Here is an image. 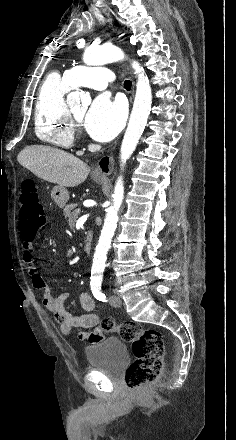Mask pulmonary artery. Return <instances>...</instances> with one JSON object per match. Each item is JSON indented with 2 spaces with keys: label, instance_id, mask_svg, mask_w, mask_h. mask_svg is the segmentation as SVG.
Instances as JSON below:
<instances>
[{
  "label": "pulmonary artery",
  "instance_id": "e3ab8cb5",
  "mask_svg": "<svg viewBox=\"0 0 236 440\" xmlns=\"http://www.w3.org/2000/svg\"><path fill=\"white\" fill-rule=\"evenodd\" d=\"M71 86H84L94 90H106L114 74L109 68L101 66H75L65 72Z\"/></svg>",
  "mask_w": 236,
  "mask_h": 440
}]
</instances>
